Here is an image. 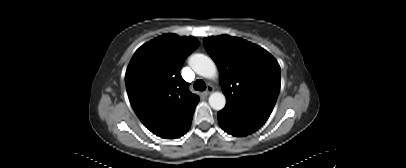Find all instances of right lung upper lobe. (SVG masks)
<instances>
[{
    "label": "right lung upper lobe",
    "instance_id": "1",
    "mask_svg": "<svg viewBox=\"0 0 406 168\" xmlns=\"http://www.w3.org/2000/svg\"><path fill=\"white\" fill-rule=\"evenodd\" d=\"M198 46L194 37L164 34L142 45L128 65L125 83L132 108L157 136L169 138L199 102L179 74Z\"/></svg>",
    "mask_w": 406,
    "mask_h": 168
}]
</instances>
